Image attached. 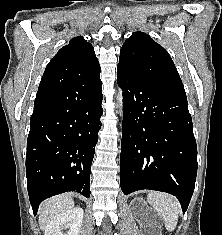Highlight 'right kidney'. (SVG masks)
<instances>
[{
	"mask_svg": "<svg viewBox=\"0 0 222 235\" xmlns=\"http://www.w3.org/2000/svg\"><path fill=\"white\" fill-rule=\"evenodd\" d=\"M84 211L82 208H73L56 216L45 229L44 235H79ZM64 229H69L64 233Z\"/></svg>",
	"mask_w": 222,
	"mask_h": 235,
	"instance_id": "1",
	"label": "right kidney"
}]
</instances>
